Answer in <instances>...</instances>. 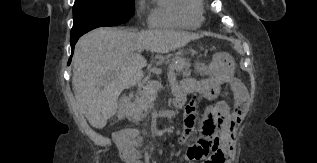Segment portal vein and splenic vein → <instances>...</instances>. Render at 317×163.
Returning a JSON list of instances; mask_svg holds the SVG:
<instances>
[{
  "label": "portal vein and splenic vein",
  "instance_id": "1",
  "mask_svg": "<svg viewBox=\"0 0 317 163\" xmlns=\"http://www.w3.org/2000/svg\"><path fill=\"white\" fill-rule=\"evenodd\" d=\"M169 75H170V76H174V72L170 71V72H169ZM149 85H150V87H152V88L155 89V90H159V89L162 88L161 83L158 82V81H151V82H149Z\"/></svg>",
  "mask_w": 317,
  "mask_h": 163
}]
</instances>
